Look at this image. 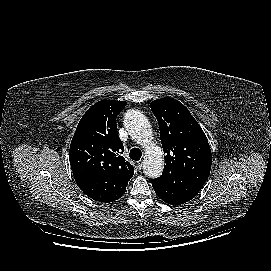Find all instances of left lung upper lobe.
Masks as SVG:
<instances>
[{
  "label": "left lung upper lobe",
  "instance_id": "1",
  "mask_svg": "<svg viewBox=\"0 0 271 271\" xmlns=\"http://www.w3.org/2000/svg\"><path fill=\"white\" fill-rule=\"evenodd\" d=\"M158 120L165 156L163 175L177 172L191 182L204 185L208 179L212 154L206 135L189 110L173 98L152 101Z\"/></svg>",
  "mask_w": 271,
  "mask_h": 271
}]
</instances>
